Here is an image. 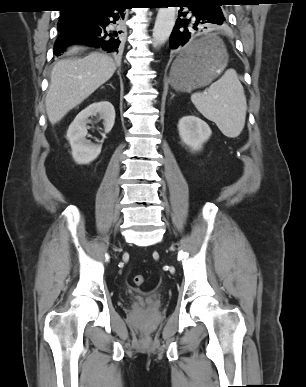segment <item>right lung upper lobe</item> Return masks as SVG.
Segmentation results:
<instances>
[{
  "instance_id": "right-lung-upper-lobe-1",
  "label": "right lung upper lobe",
  "mask_w": 306,
  "mask_h": 387,
  "mask_svg": "<svg viewBox=\"0 0 306 387\" xmlns=\"http://www.w3.org/2000/svg\"><path fill=\"white\" fill-rule=\"evenodd\" d=\"M115 0H64L66 7L101 6ZM67 11V9L62 12Z\"/></svg>"
}]
</instances>
